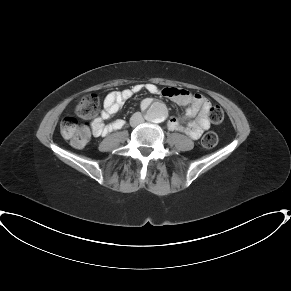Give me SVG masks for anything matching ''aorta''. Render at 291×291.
<instances>
[{"instance_id": "aorta-1", "label": "aorta", "mask_w": 291, "mask_h": 291, "mask_svg": "<svg viewBox=\"0 0 291 291\" xmlns=\"http://www.w3.org/2000/svg\"><path fill=\"white\" fill-rule=\"evenodd\" d=\"M167 116V109L162 103H153L147 111V117L152 122H162Z\"/></svg>"}]
</instances>
